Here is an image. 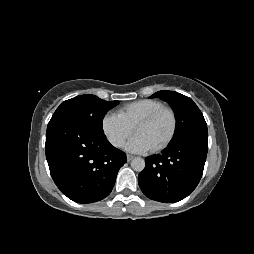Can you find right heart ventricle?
<instances>
[{"mask_svg":"<svg viewBox=\"0 0 254 254\" xmlns=\"http://www.w3.org/2000/svg\"><path fill=\"white\" fill-rule=\"evenodd\" d=\"M162 106H164L163 103L158 100L141 99L125 104L118 109L117 114L127 124L134 127L140 119Z\"/></svg>","mask_w":254,"mask_h":254,"instance_id":"right-heart-ventricle-1","label":"right heart ventricle"}]
</instances>
